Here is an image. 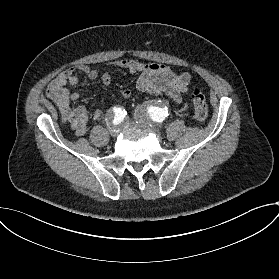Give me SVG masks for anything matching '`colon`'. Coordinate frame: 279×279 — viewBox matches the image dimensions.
<instances>
[{
    "mask_svg": "<svg viewBox=\"0 0 279 279\" xmlns=\"http://www.w3.org/2000/svg\"><path fill=\"white\" fill-rule=\"evenodd\" d=\"M192 102L194 107V115L198 121H205L208 117V108L203 91L195 88L192 92Z\"/></svg>",
    "mask_w": 279,
    "mask_h": 279,
    "instance_id": "colon-1",
    "label": "colon"
}]
</instances>
